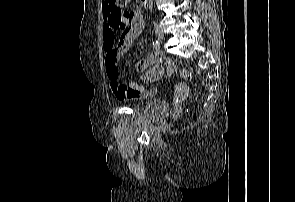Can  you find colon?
<instances>
[{"label":"colon","instance_id":"1","mask_svg":"<svg viewBox=\"0 0 295 202\" xmlns=\"http://www.w3.org/2000/svg\"><path fill=\"white\" fill-rule=\"evenodd\" d=\"M130 0H105V10L107 13L116 16L119 19V26L124 27L129 21V16L123 12L121 8L125 6ZM180 76L186 80L191 79L192 74L185 68L178 70Z\"/></svg>","mask_w":295,"mask_h":202}]
</instances>
